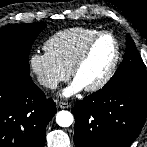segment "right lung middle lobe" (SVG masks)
<instances>
[{
  "label": "right lung middle lobe",
  "instance_id": "right-lung-middle-lobe-1",
  "mask_svg": "<svg viewBox=\"0 0 147 147\" xmlns=\"http://www.w3.org/2000/svg\"><path fill=\"white\" fill-rule=\"evenodd\" d=\"M45 26V23L37 22L2 27L0 29V67L29 75V52L34 40Z\"/></svg>",
  "mask_w": 147,
  "mask_h": 147
}]
</instances>
